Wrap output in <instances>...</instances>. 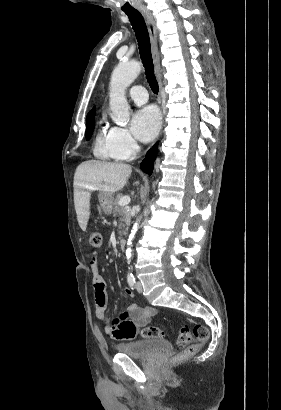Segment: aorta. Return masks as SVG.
I'll return each instance as SVG.
<instances>
[{"label":"aorta","instance_id":"1","mask_svg":"<svg viewBox=\"0 0 281 410\" xmlns=\"http://www.w3.org/2000/svg\"><path fill=\"white\" fill-rule=\"evenodd\" d=\"M141 71V65L137 62H121L114 69L110 81L109 105L112 111V119L118 125L125 126L129 122V104L125 97V90L137 78ZM142 216L134 223L127 240L126 258L130 263L132 243L139 228Z\"/></svg>","mask_w":281,"mask_h":410}]
</instances>
